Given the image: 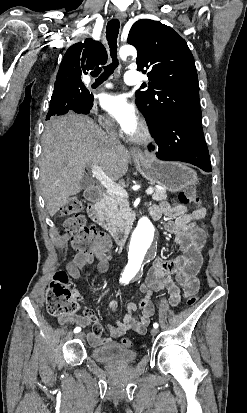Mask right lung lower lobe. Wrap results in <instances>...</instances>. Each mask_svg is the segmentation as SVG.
<instances>
[{
  "mask_svg": "<svg viewBox=\"0 0 247 413\" xmlns=\"http://www.w3.org/2000/svg\"><path fill=\"white\" fill-rule=\"evenodd\" d=\"M93 107V95L90 93L77 96L51 98L46 120L54 115L66 114L69 110L76 113L89 114Z\"/></svg>",
  "mask_w": 247,
  "mask_h": 413,
  "instance_id": "98d812e1",
  "label": "right lung lower lobe"
}]
</instances>
